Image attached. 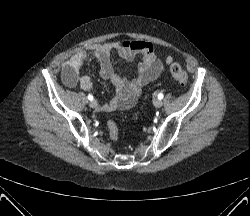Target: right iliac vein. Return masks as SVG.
<instances>
[{"label":"right iliac vein","mask_w":250,"mask_h":216,"mask_svg":"<svg viewBox=\"0 0 250 216\" xmlns=\"http://www.w3.org/2000/svg\"><path fill=\"white\" fill-rule=\"evenodd\" d=\"M89 105H90V107H92V108H96L97 105H98V103H97L96 100H91L90 103H89Z\"/></svg>","instance_id":"right-iliac-vein-1"}]
</instances>
